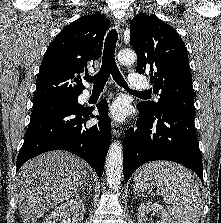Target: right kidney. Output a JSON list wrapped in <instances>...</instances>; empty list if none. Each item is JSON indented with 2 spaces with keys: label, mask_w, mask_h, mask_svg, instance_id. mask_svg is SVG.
I'll list each match as a JSON object with an SVG mask.
<instances>
[{
  "label": "right kidney",
  "mask_w": 221,
  "mask_h": 223,
  "mask_svg": "<svg viewBox=\"0 0 221 223\" xmlns=\"http://www.w3.org/2000/svg\"><path fill=\"white\" fill-rule=\"evenodd\" d=\"M85 206L81 198L70 199L57 206L43 223H82Z\"/></svg>",
  "instance_id": "obj_1"
}]
</instances>
